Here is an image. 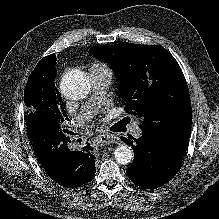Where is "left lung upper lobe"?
<instances>
[{"mask_svg":"<svg viewBox=\"0 0 219 219\" xmlns=\"http://www.w3.org/2000/svg\"><path fill=\"white\" fill-rule=\"evenodd\" d=\"M89 51L112 66L126 111L144 118L143 132L173 139L190 137L188 86L179 64L165 48L122 42Z\"/></svg>","mask_w":219,"mask_h":219,"instance_id":"obj_1","label":"left lung upper lobe"}]
</instances>
